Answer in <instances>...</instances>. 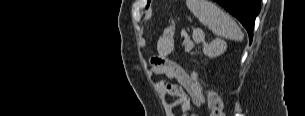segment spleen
Instances as JSON below:
<instances>
[{"instance_id":"obj_1","label":"spleen","mask_w":305,"mask_h":116,"mask_svg":"<svg viewBox=\"0 0 305 116\" xmlns=\"http://www.w3.org/2000/svg\"><path fill=\"white\" fill-rule=\"evenodd\" d=\"M187 7L195 17L214 34L230 40L241 41L244 37L237 23L214 3L207 0H187ZM215 40L210 47L221 44Z\"/></svg>"}]
</instances>
